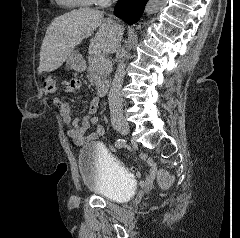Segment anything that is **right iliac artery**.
I'll list each match as a JSON object with an SVG mask.
<instances>
[{"label":"right iliac artery","instance_id":"82829eb1","mask_svg":"<svg viewBox=\"0 0 240 238\" xmlns=\"http://www.w3.org/2000/svg\"><path fill=\"white\" fill-rule=\"evenodd\" d=\"M123 144H124V140L122 139H118L116 142H115V146L117 148H122L123 147Z\"/></svg>","mask_w":240,"mask_h":238}]
</instances>
